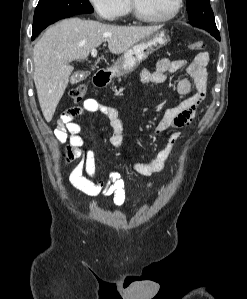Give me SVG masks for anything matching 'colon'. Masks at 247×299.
I'll return each instance as SVG.
<instances>
[{
	"label": "colon",
	"mask_w": 247,
	"mask_h": 299,
	"mask_svg": "<svg viewBox=\"0 0 247 299\" xmlns=\"http://www.w3.org/2000/svg\"><path fill=\"white\" fill-rule=\"evenodd\" d=\"M188 48L192 51H201L203 49V42L202 41L192 42L188 45ZM86 91H87L86 86L83 84H79L73 87L69 91V96L75 101H80L84 98Z\"/></svg>",
	"instance_id": "colon-1"
}]
</instances>
